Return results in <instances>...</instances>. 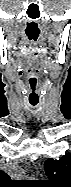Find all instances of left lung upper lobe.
Listing matches in <instances>:
<instances>
[{
  "mask_svg": "<svg viewBox=\"0 0 71 187\" xmlns=\"http://www.w3.org/2000/svg\"><path fill=\"white\" fill-rule=\"evenodd\" d=\"M49 180L42 181L49 187H71V154H65L59 160L52 158L44 163Z\"/></svg>",
  "mask_w": 71,
  "mask_h": 187,
  "instance_id": "1",
  "label": "left lung upper lobe"
}]
</instances>
